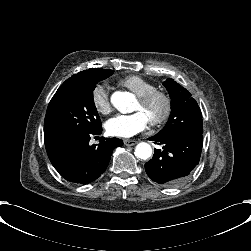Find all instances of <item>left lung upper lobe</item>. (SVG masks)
Wrapping results in <instances>:
<instances>
[{
	"label": "left lung upper lobe",
	"instance_id": "1",
	"mask_svg": "<svg viewBox=\"0 0 251 251\" xmlns=\"http://www.w3.org/2000/svg\"><path fill=\"white\" fill-rule=\"evenodd\" d=\"M163 85L170 94L172 111L166 126L156 136L164 138L189 131L203 133L202 114L189 91L171 78Z\"/></svg>",
	"mask_w": 251,
	"mask_h": 251
}]
</instances>
